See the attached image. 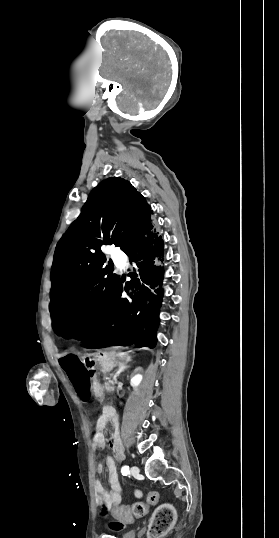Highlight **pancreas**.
Masks as SVG:
<instances>
[{"instance_id":"obj_1","label":"pancreas","mask_w":279,"mask_h":538,"mask_svg":"<svg viewBox=\"0 0 279 538\" xmlns=\"http://www.w3.org/2000/svg\"><path fill=\"white\" fill-rule=\"evenodd\" d=\"M114 387H115V384L113 383V381L112 380H107L105 391L107 393H112V392H114Z\"/></svg>"}]
</instances>
